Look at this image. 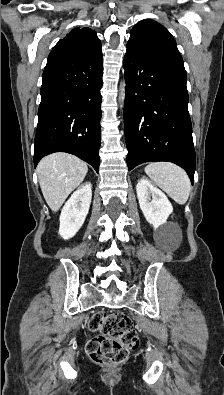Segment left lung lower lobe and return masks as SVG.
Returning <instances> with one entry per match:
<instances>
[{
  "mask_svg": "<svg viewBox=\"0 0 224 395\" xmlns=\"http://www.w3.org/2000/svg\"><path fill=\"white\" fill-rule=\"evenodd\" d=\"M125 141L129 171L144 162H173L194 181L195 151L184 66L127 47L124 57Z\"/></svg>",
  "mask_w": 224,
  "mask_h": 395,
  "instance_id": "0a47b994",
  "label": "left lung lower lobe"
}]
</instances>
